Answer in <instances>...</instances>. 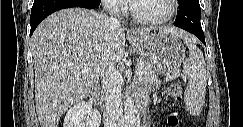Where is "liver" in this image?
Segmentation results:
<instances>
[{
    "label": "liver",
    "instance_id": "1",
    "mask_svg": "<svg viewBox=\"0 0 243 127\" xmlns=\"http://www.w3.org/2000/svg\"><path fill=\"white\" fill-rule=\"evenodd\" d=\"M151 29L134 28L130 33L143 35ZM161 29L191 37L177 28ZM126 31L105 14L85 8L63 9L40 23L32 35V51L41 127H58L64 112L91 94L110 65L123 59Z\"/></svg>",
    "mask_w": 243,
    "mask_h": 127
}]
</instances>
